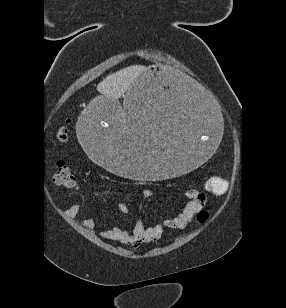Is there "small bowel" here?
I'll list each match as a JSON object with an SVG mask.
<instances>
[{"label": "small bowel", "mask_w": 286, "mask_h": 308, "mask_svg": "<svg viewBox=\"0 0 286 308\" xmlns=\"http://www.w3.org/2000/svg\"><path fill=\"white\" fill-rule=\"evenodd\" d=\"M153 195L152 190H143V196L149 198ZM188 202L184 210L176 217L166 219L162 223L153 226H145L140 220H137L131 230L121 227H113L102 232L106 239L118 241L124 245L138 248L143 244L157 242L163 234L164 229H185L193 220L196 213L202 209L206 203V195L198 189L190 188L185 193ZM121 213L129 211L128 206L124 203L117 205ZM81 211L79 204H74L66 210V216L73 218ZM96 224V219L90 217L82 222V226L90 229Z\"/></svg>", "instance_id": "small-bowel-1"}]
</instances>
